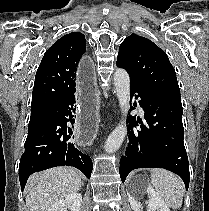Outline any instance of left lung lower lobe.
Returning a JSON list of instances; mask_svg holds the SVG:
<instances>
[{
	"label": "left lung lower lobe",
	"instance_id": "obj_1",
	"mask_svg": "<svg viewBox=\"0 0 209 211\" xmlns=\"http://www.w3.org/2000/svg\"><path fill=\"white\" fill-rule=\"evenodd\" d=\"M131 96L140 98L144 108L145 125L137 128L142 120L129 118V143L120 160L119 173L122 182L137 168H164L179 175L189 187L188 157L184 147L183 108L181 99L153 94L130 81Z\"/></svg>",
	"mask_w": 209,
	"mask_h": 211
}]
</instances>
